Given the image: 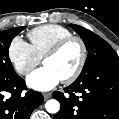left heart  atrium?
<instances>
[{
  "mask_svg": "<svg viewBox=\"0 0 119 119\" xmlns=\"http://www.w3.org/2000/svg\"><path fill=\"white\" fill-rule=\"evenodd\" d=\"M62 78L48 66L35 70L28 78L27 84L37 91H49L57 86Z\"/></svg>",
  "mask_w": 119,
  "mask_h": 119,
  "instance_id": "left-heart-atrium-1",
  "label": "left heart atrium"
}]
</instances>
